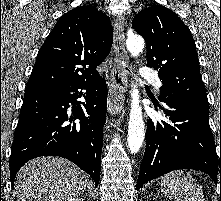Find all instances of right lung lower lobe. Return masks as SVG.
Wrapping results in <instances>:
<instances>
[{
  "mask_svg": "<svg viewBox=\"0 0 221 201\" xmlns=\"http://www.w3.org/2000/svg\"><path fill=\"white\" fill-rule=\"evenodd\" d=\"M87 90L86 96L79 90ZM85 96L86 104L77 101ZM105 80L56 87H26L10 156V180L39 156L66 158L88 173L97 187L106 121Z\"/></svg>",
  "mask_w": 221,
  "mask_h": 201,
  "instance_id": "1",
  "label": "right lung lower lobe"
}]
</instances>
